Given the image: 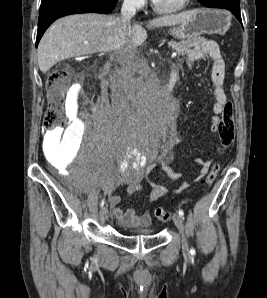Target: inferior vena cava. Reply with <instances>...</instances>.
Listing matches in <instances>:
<instances>
[{
  "label": "inferior vena cava",
  "mask_w": 267,
  "mask_h": 298,
  "mask_svg": "<svg viewBox=\"0 0 267 298\" xmlns=\"http://www.w3.org/2000/svg\"><path fill=\"white\" fill-rule=\"evenodd\" d=\"M137 0H124L121 8V23L119 26V33L127 31L130 19L136 13ZM114 56L121 66L120 76L124 80L123 96L120 97L119 105L123 110L129 109V99L132 95L129 88V81L132 78L133 71L136 65V45L128 43L125 46L113 51Z\"/></svg>",
  "instance_id": "inferior-vena-cava-1"
}]
</instances>
